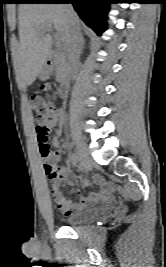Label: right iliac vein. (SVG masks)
I'll return each instance as SVG.
<instances>
[{
  "mask_svg": "<svg viewBox=\"0 0 166 267\" xmlns=\"http://www.w3.org/2000/svg\"><path fill=\"white\" fill-rule=\"evenodd\" d=\"M77 154L80 159V164L83 169H89L91 167L92 160L89 156V153L84 146L83 142L78 140L77 141Z\"/></svg>",
  "mask_w": 166,
  "mask_h": 267,
  "instance_id": "obj_1",
  "label": "right iliac vein"
}]
</instances>
